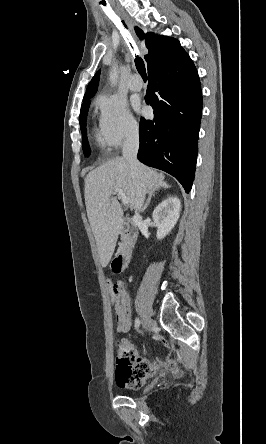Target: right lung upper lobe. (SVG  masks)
<instances>
[{"mask_svg":"<svg viewBox=\"0 0 266 444\" xmlns=\"http://www.w3.org/2000/svg\"><path fill=\"white\" fill-rule=\"evenodd\" d=\"M135 31L140 39H145L146 47L149 50V53L144 56L147 62L148 72L171 64L187 55L180 45V42L174 38L158 36L154 33L144 34V32L138 27H135ZM99 77L100 70L96 72L88 84L83 102L90 101V98L95 95L99 83Z\"/></svg>","mask_w":266,"mask_h":444,"instance_id":"1","label":"right lung upper lobe"}]
</instances>
